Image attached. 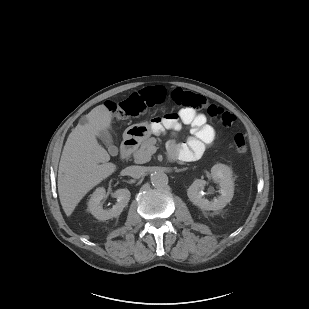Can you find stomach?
Here are the masks:
<instances>
[{
  "mask_svg": "<svg viewBox=\"0 0 309 309\" xmlns=\"http://www.w3.org/2000/svg\"><path fill=\"white\" fill-rule=\"evenodd\" d=\"M152 134V129L147 122L138 123L129 126L123 134L125 139H134L135 141L141 142L149 138Z\"/></svg>",
  "mask_w": 309,
  "mask_h": 309,
  "instance_id": "obj_1",
  "label": "stomach"
}]
</instances>
